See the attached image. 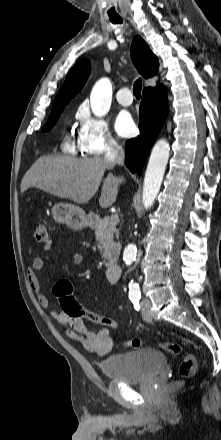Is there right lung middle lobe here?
Returning a JSON list of instances; mask_svg holds the SVG:
<instances>
[{"instance_id": "1", "label": "right lung middle lobe", "mask_w": 221, "mask_h": 440, "mask_svg": "<svg viewBox=\"0 0 221 440\" xmlns=\"http://www.w3.org/2000/svg\"><path fill=\"white\" fill-rule=\"evenodd\" d=\"M63 109H64V106L52 109L51 115L49 116V119L46 122L45 126L42 128V131H48L55 125V123L59 119L60 114L62 113Z\"/></svg>"}]
</instances>
